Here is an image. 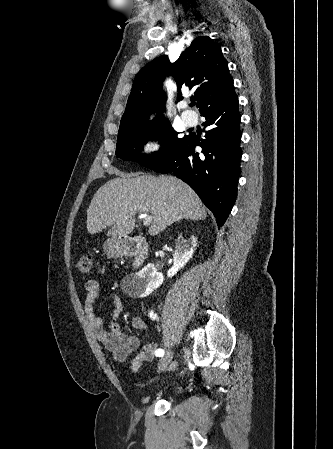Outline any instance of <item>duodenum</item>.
<instances>
[{"instance_id": "410a0bca", "label": "duodenum", "mask_w": 333, "mask_h": 449, "mask_svg": "<svg viewBox=\"0 0 333 449\" xmlns=\"http://www.w3.org/2000/svg\"><path fill=\"white\" fill-rule=\"evenodd\" d=\"M114 252L117 256H131L133 267L139 268L148 257L149 246L143 238H120L114 244Z\"/></svg>"}]
</instances>
